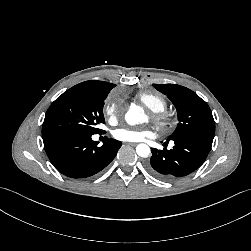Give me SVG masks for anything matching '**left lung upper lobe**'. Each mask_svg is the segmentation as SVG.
<instances>
[{
	"label": "left lung upper lobe",
	"mask_w": 251,
	"mask_h": 251,
	"mask_svg": "<svg viewBox=\"0 0 251 251\" xmlns=\"http://www.w3.org/2000/svg\"><path fill=\"white\" fill-rule=\"evenodd\" d=\"M173 102L178 113V125L168 138L205 136L214 138L215 122L207 103L192 90L177 84H153Z\"/></svg>",
	"instance_id": "obj_1"
}]
</instances>
